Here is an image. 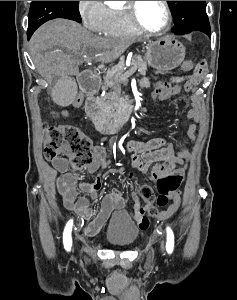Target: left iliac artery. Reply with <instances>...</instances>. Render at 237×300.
<instances>
[{
	"mask_svg": "<svg viewBox=\"0 0 237 300\" xmlns=\"http://www.w3.org/2000/svg\"><path fill=\"white\" fill-rule=\"evenodd\" d=\"M166 230H167L166 250L170 254L173 252V248H174V234L169 227H167Z\"/></svg>",
	"mask_w": 237,
	"mask_h": 300,
	"instance_id": "obj_1",
	"label": "left iliac artery"
}]
</instances>
